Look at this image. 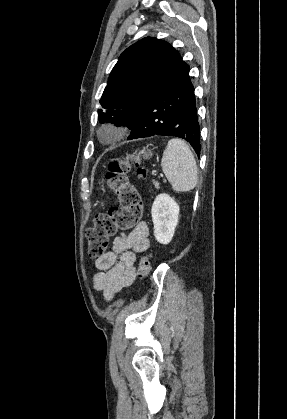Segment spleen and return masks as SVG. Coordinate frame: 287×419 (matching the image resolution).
<instances>
[{"label":"spleen","instance_id":"obj_1","mask_svg":"<svg viewBox=\"0 0 287 419\" xmlns=\"http://www.w3.org/2000/svg\"><path fill=\"white\" fill-rule=\"evenodd\" d=\"M161 166L173 190L188 192L195 188L198 168L194 155L185 141L178 138L168 141Z\"/></svg>","mask_w":287,"mask_h":419}]
</instances>
